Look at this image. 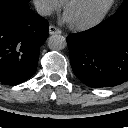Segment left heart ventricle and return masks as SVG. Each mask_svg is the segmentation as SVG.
<instances>
[{
	"label": "left heart ventricle",
	"mask_w": 128,
	"mask_h": 128,
	"mask_svg": "<svg viewBox=\"0 0 128 128\" xmlns=\"http://www.w3.org/2000/svg\"><path fill=\"white\" fill-rule=\"evenodd\" d=\"M108 0H77L67 11L72 22H84L95 17Z\"/></svg>",
	"instance_id": "1"
}]
</instances>
